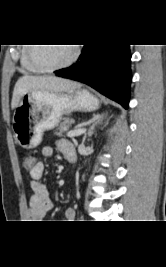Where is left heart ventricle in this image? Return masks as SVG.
<instances>
[{
	"instance_id": "b2bd125f",
	"label": "left heart ventricle",
	"mask_w": 166,
	"mask_h": 267,
	"mask_svg": "<svg viewBox=\"0 0 166 267\" xmlns=\"http://www.w3.org/2000/svg\"><path fill=\"white\" fill-rule=\"evenodd\" d=\"M73 52L70 46H38L35 54L36 58L47 66H55L66 62Z\"/></svg>"
}]
</instances>
